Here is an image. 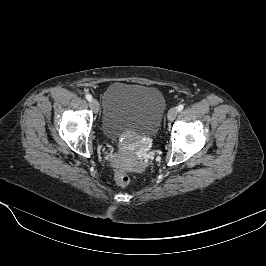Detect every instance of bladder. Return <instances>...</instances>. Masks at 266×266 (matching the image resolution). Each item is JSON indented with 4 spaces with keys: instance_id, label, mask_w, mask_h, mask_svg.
I'll use <instances>...</instances> for the list:
<instances>
[{
    "instance_id": "31cf9c89",
    "label": "bladder",
    "mask_w": 266,
    "mask_h": 266,
    "mask_svg": "<svg viewBox=\"0 0 266 266\" xmlns=\"http://www.w3.org/2000/svg\"><path fill=\"white\" fill-rule=\"evenodd\" d=\"M165 110V98L157 88L116 82L103 95L101 129L110 140H118L128 132L153 137Z\"/></svg>"
}]
</instances>
